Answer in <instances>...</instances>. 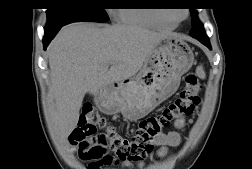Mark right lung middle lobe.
<instances>
[{"instance_id":"right-lung-middle-lobe-1","label":"right lung middle lobe","mask_w":252,"mask_h":169,"mask_svg":"<svg viewBox=\"0 0 252 169\" xmlns=\"http://www.w3.org/2000/svg\"><path fill=\"white\" fill-rule=\"evenodd\" d=\"M105 0H48L45 31L80 21L105 22Z\"/></svg>"}]
</instances>
